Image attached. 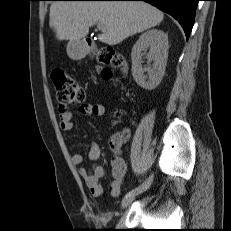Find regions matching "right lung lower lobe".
I'll return each instance as SVG.
<instances>
[{"label": "right lung lower lobe", "mask_w": 231, "mask_h": 231, "mask_svg": "<svg viewBox=\"0 0 231 231\" xmlns=\"http://www.w3.org/2000/svg\"><path fill=\"white\" fill-rule=\"evenodd\" d=\"M100 1H145L170 14L182 26L186 38L192 30L197 3L199 0H100Z\"/></svg>", "instance_id": "right-lung-lower-lobe-1"}]
</instances>
